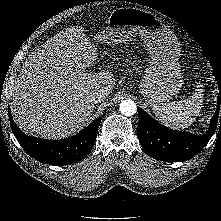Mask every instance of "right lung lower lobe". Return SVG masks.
Wrapping results in <instances>:
<instances>
[{
	"mask_svg": "<svg viewBox=\"0 0 221 221\" xmlns=\"http://www.w3.org/2000/svg\"><path fill=\"white\" fill-rule=\"evenodd\" d=\"M12 131L24 150L37 161L51 165H67L83 159L92 149L102 116L78 134L60 140H46L24 134L15 124L8 108Z\"/></svg>",
	"mask_w": 221,
	"mask_h": 221,
	"instance_id": "right-lung-lower-lobe-1",
	"label": "right lung lower lobe"
}]
</instances>
